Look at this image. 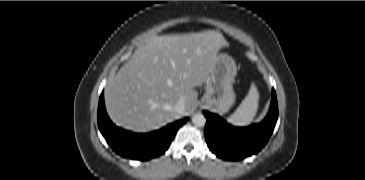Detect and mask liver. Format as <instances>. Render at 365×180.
Segmentation results:
<instances>
[{
  "instance_id": "liver-1",
  "label": "liver",
  "mask_w": 365,
  "mask_h": 180,
  "mask_svg": "<svg viewBox=\"0 0 365 180\" xmlns=\"http://www.w3.org/2000/svg\"><path fill=\"white\" fill-rule=\"evenodd\" d=\"M227 46L215 30L149 38L105 88V105L118 126L151 131L189 115L197 104L195 87L209 78L219 50ZM185 110L178 114L176 103Z\"/></svg>"
}]
</instances>
